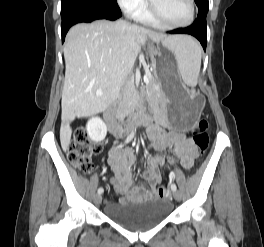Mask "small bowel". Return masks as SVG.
<instances>
[{
  "mask_svg": "<svg viewBox=\"0 0 264 247\" xmlns=\"http://www.w3.org/2000/svg\"><path fill=\"white\" fill-rule=\"evenodd\" d=\"M163 127H167L165 130ZM149 135L152 139L150 146L146 150L155 149L162 151L172 148L174 158L165 160L161 156H152L148 161L144 179L149 186L132 187V165L134 155L131 149L114 148L110 152L109 164L114 171L113 182L116 192L123 196V199H152L155 196L154 188L160 181L158 168L165 164L170 165L178 162L185 170H190L197 155L194 142L184 133L178 131L170 125L166 117L160 112H156V122L149 126Z\"/></svg>",
  "mask_w": 264,
  "mask_h": 247,
  "instance_id": "c3829d8e",
  "label": "small bowel"
}]
</instances>
